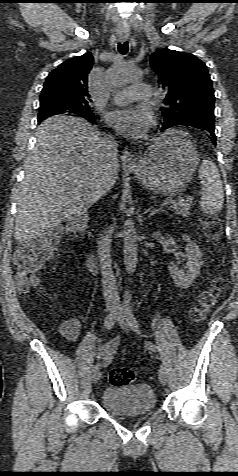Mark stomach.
I'll return each instance as SVG.
<instances>
[{
    "instance_id": "stomach-1",
    "label": "stomach",
    "mask_w": 238,
    "mask_h": 476,
    "mask_svg": "<svg viewBox=\"0 0 238 476\" xmlns=\"http://www.w3.org/2000/svg\"><path fill=\"white\" fill-rule=\"evenodd\" d=\"M198 163V152L191 140L184 132L171 130L154 139L130 171L151 191L169 195L186 186Z\"/></svg>"
}]
</instances>
